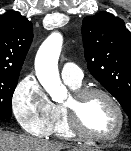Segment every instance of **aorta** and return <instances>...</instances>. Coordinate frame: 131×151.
Returning <instances> with one entry per match:
<instances>
[{"instance_id":"aorta-1","label":"aorta","mask_w":131,"mask_h":151,"mask_svg":"<svg viewBox=\"0 0 131 151\" xmlns=\"http://www.w3.org/2000/svg\"><path fill=\"white\" fill-rule=\"evenodd\" d=\"M61 45V36L53 33L41 45L35 59L36 76L54 100H59L60 96L65 93L58 72Z\"/></svg>"}]
</instances>
